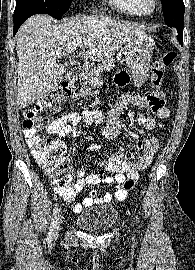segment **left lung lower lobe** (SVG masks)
<instances>
[{
  "mask_svg": "<svg viewBox=\"0 0 195 270\" xmlns=\"http://www.w3.org/2000/svg\"><path fill=\"white\" fill-rule=\"evenodd\" d=\"M174 28L177 30L178 36L177 39L180 42L181 45H183V25L181 26H174Z\"/></svg>",
  "mask_w": 195,
  "mask_h": 270,
  "instance_id": "1",
  "label": "left lung lower lobe"
}]
</instances>
